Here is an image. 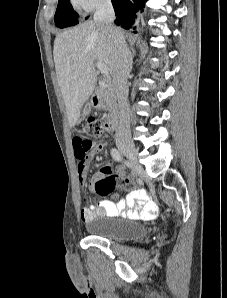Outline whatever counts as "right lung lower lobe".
Segmentation results:
<instances>
[{
	"label": "right lung lower lobe",
	"instance_id": "98d812e1",
	"mask_svg": "<svg viewBox=\"0 0 227 298\" xmlns=\"http://www.w3.org/2000/svg\"><path fill=\"white\" fill-rule=\"evenodd\" d=\"M112 4L117 15L115 23L125 29L132 27L136 12L144 7L143 0H112Z\"/></svg>",
	"mask_w": 227,
	"mask_h": 298
}]
</instances>
